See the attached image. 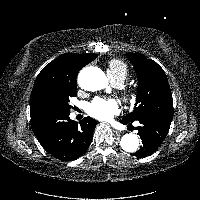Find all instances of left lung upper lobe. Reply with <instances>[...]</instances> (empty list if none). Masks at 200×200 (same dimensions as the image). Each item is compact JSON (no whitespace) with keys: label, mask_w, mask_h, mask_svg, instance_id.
<instances>
[{"label":"left lung upper lobe","mask_w":200,"mask_h":200,"mask_svg":"<svg viewBox=\"0 0 200 200\" xmlns=\"http://www.w3.org/2000/svg\"><path fill=\"white\" fill-rule=\"evenodd\" d=\"M138 78L135 109L123 119L134 122L146 117L170 121L173 99L163 69L140 53H128Z\"/></svg>","instance_id":"1"}]
</instances>
